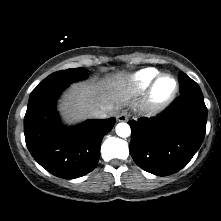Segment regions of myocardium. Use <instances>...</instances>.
<instances>
[{
	"instance_id": "obj_1",
	"label": "myocardium",
	"mask_w": 221,
	"mask_h": 221,
	"mask_svg": "<svg viewBox=\"0 0 221 221\" xmlns=\"http://www.w3.org/2000/svg\"><path fill=\"white\" fill-rule=\"evenodd\" d=\"M163 78H170L174 83V87L169 94L160 98L157 96L156 90H157L158 83ZM178 89H179V83L173 75L169 73L158 74L149 85V89L147 93V104H148L149 109L151 111H160L164 109L165 107H167L175 98L178 92Z\"/></svg>"
}]
</instances>
